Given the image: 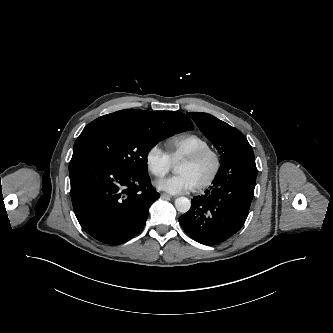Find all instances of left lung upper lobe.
I'll list each match as a JSON object with an SVG mask.
<instances>
[{
  "instance_id": "5c2ea615",
  "label": "left lung upper lobe",
  "mask_w": 333,
  "mask_h": 333,
  "mask_svg": "<svg viewBox=\"0 0 333 333\" xmlns=\"http://www.w3.org/2000/svg\"><path fill=\"white\" fill-rule=\"evenodd\" d=\"M187 114L221 153V162L240 148L250 145L239 130L210 114L191 112Z\"/></svg>"
}]
</instances>
